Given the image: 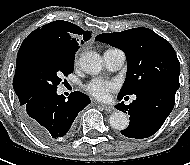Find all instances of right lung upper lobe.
<instances>
[{
	"mask_svg": "<svg viewBox=\"0 0 190 165\" xmlns=\"http://www.w3.org/2000/svg\"><path fill=\"white\" fill-rule=\"evenodd\" d=\"M33 37H40L48 40L57 41L68 47L77 48L78 50V42H80L81 40V44H83V41H87L90 39L91 34L89 31H83L80 27L71 22L54 21L31 32L28 37L23 41L22 45L27 40ZM13 87L16 94L18 95L20 90V83L17 68L13 79Z\"/></svg>",
	"mask_w": 190,
	"mask_h": 165,
	"instance_id": "right-lung-upper-lobe-1",
	"label": "right lung upper lobe"
}]
</instances>
